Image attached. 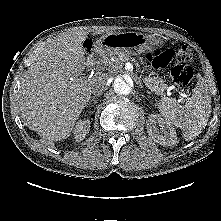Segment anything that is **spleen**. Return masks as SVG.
I'll use <instances>...</instances> for the list:
<instances>
[{
	"label": "spleen",
	"mask_w": 221,
	"mask_h": 221,
	"mask_svg": "<svg viewBox=\"0 0 221 221\" xmlns=\"http://www.w3.org/2000/svg\"><path fill=\"white\" fill-rule=\"evenodd\" d=\"M211 99L208 87L198 83L192 96L182 106L172 98H164L159 109L163 119L170 125L179 127L185 140L198 136L207 125L211 114Z\"/></svg>",
	"instance_id": "spleen-1"
}]
</instances>
